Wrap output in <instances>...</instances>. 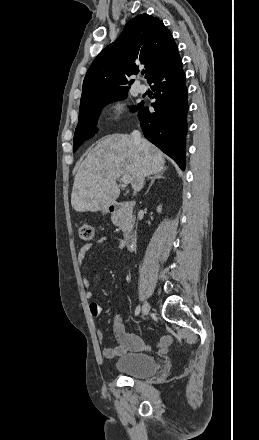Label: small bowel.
<instances>
[{"instance_id":"1","label":"small bowel","mask_w":259,"mask_h":440,"mask_svg":"<svg viewBox=\"0 0 259 440\" xmlns=\"http://www.w3.org/2000/svg\"><path fill=\"white\" fill-rule=\"evenodd\" d=\"M108 241H112V242L116 243L121 248L125 246L124 240L119 237H113L110 239L103 237L96 242L84 244L79 249L78 255H77V260H78V264H79L80 268L83 267L86 255L93 247L100 245L102 243L108 242ZM82 283L85 288L86 297L88 299L92 298L93 292L90 288V283L85 276L82 277ZM89 311L92 316L97 317L100 315L102 308L98 303L91 302L89 304ZM114 333H115L116 339L118 341V345L114 346V347H107V348L103 349L102 354L105 358H112L116 355H119V354L124 353L129 350H147V349H149V347L145 345V343L141 337H139L136 334L126 332L123 325L118 320L114 324ZM96 337L100 343L104 341L103 332L97 331ZM171 343H172V337L170 335H165V336L161 337L160 340L158 341V344H157L158 351L161 353L166 352Z\"/></svg>"}]
</instances>
